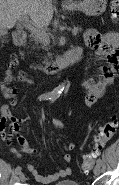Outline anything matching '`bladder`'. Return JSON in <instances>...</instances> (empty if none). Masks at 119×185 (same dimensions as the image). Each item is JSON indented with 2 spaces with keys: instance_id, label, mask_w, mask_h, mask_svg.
Listing matches in <instances>:
<instances>
[{
  "instance_id": "1",
  "label": "bladder",
  "mask_w": 119,
  "mask_h": 185,
  "mask_svg": "<svg viewBox=\"0 0 119 185\" xmlns=\"http://www.w3.org/2000/svg\"><path fill=\"white\" fill-rule=\"evenodd\" d=\"M55 185H80V184L74 180H62L57 182Z\"/></svg>"
}]
</instances>
